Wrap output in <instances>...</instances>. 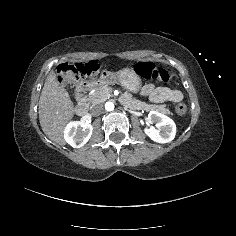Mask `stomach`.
Wrapping results in <instances>:
<instances>
[{
	"label": "stomach",
	"instance_id": "0dacf381",
	"mask_svg": "<svg viewBox=\"0 0 236 236\" xmlns=\"http://www.w3.org/2000/svg\"><path fill=\"white\" fill-rule=\"evenodd\" d=\"M100 83H118L132 93H138L142 86L140 76L132 68H123L117 72H108L106 77L101 78Z\"/></svg>",
	"mask_w": 236,
	"mask_h": 236
}]
</instances>
